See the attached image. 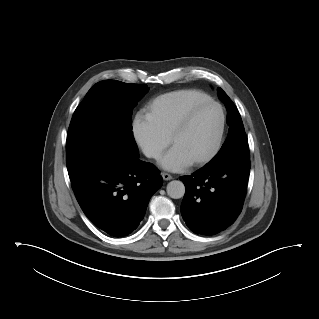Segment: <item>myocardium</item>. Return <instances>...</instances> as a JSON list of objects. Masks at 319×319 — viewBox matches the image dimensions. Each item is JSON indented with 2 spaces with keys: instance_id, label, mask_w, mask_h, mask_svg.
Here are the masks:
<instances>
[{
  "instance_id": "myocardium-1",
  "label": "myocardium",
  "mask_w": 319,
  "mask_h": 319,
  "mask_svg": "<svg viewBox=\"0 0 319 319\" xmlns=\"http://www.w3.org/2000/svg\"><path fill=\"white\" fill-rule=\"evenodd\" d=\"M206 106H216L219 109L220 112V127H219V133L216 145L212 152L208 154L207 156L195 160L191 162V165L193 166H202L205 164L210 163L213 161L221 152V149L223 147L224 142V136H225V129H226V113L224 107L219 103L218 101L214 99H209L203 102H200L193 107L189 109V111L185 114V116L182 118V120L176 125V127L173 129L169 136V144L172 146L173 142L183 133H185L189 127L191 126L192 122L194 121L197 113L202 110Z\"/></svg>"
}]
</instances>
